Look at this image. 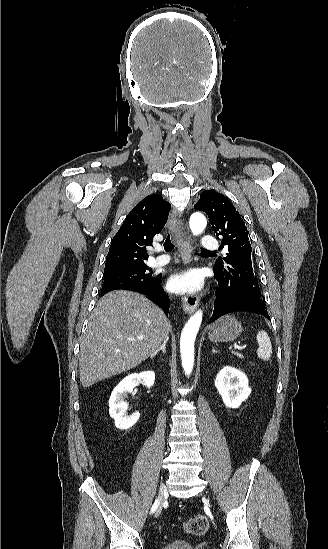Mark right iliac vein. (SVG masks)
I'll return each instance as SVG.
<instances>
[{"instance_id": "1", "label": "right iliac vein", "mask_w": 328, "mask_h": 549, "mask_svg": "<svg viewBox=\"0 0 328 549\" xmlns=\"http://www.w3.org/2000/svg\"><path fill=\"white\" fill-rule=\"evenodd\" d=\"M166 497H167V490H166L165 484L161 482L160 488H159L158 506L155 511L156 518L160 515L162 511L163 501L165 500Z\"/></svg>"}]
</instances>
